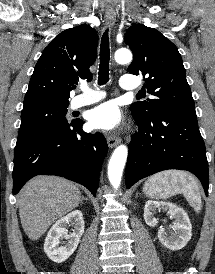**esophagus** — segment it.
I'll list each match as a JSON object with an SVG mask.
<instances>
[{"label":"esophagus","mask_w":215,"mask_h":274,"mask_svg":"<svg viewBox=\"0 0 215 274\" xmlns=\"http://www.w3.org/2000/svg\"><path fill=\"white\" fill-rule=\"evenodd\" d=\"M115 21V16L113 13H106L105 14V23L107 26H112ZM121 142V139L116 135H108L107 136V143L110 148L118 145Z\"/></svg>","instance_id":"34e87169"}]
</instances>
